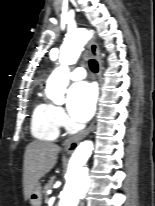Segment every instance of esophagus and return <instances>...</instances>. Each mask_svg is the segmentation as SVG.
I'll return each instance as SVG.
<instances>
[{
  "instance_id": "34e87169",
  "label": "esophagus",
  "mask_w": 155,
  "mask_h": 206,
  "mask_svg": "<svg viewBox=\"0 0 155 206\" xmlns=\"http://www.w3.org/2000/svg\"><path fill=\"white\" fill-rule=\"evenodd\" d=\"M88 49L90 51V53L96 58L97 62H98V66H99V83H102V72H103V65H102V61L99 55V48L97 43L94 40H90L88 42ZM94 127V122H92L86 129L82 130L81 132H79L78 134L68 138L64 144L63 147L67 152H72L75 150V148L77 147V145L79 144V142L84 139L89 133L90 131L93 129Z\"/></svg>"
}]
</instances>
